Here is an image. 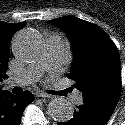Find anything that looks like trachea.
<instances>
[{"label":"trachea","mask_w":125,"mask_h":125,"mask_svg":"<svg viewBox=\"0 0 125 125\" xmlns=\"http://www.w3.org/2000/svg\"><path fill=\"white\" fill-rule=\"evenodd\" d=\"M13 91H14L15 93H20L21 89L18 88V87H15V88L13 89Z\"/></svg>","instance_id":"1"}]
</instances>
